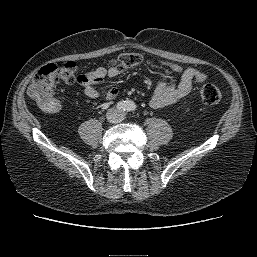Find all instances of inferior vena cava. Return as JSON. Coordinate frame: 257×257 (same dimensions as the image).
I'll use <instances>...</instances> for the list:
<instances>
[{
	"label": "inferior vena cava",
	"instance_id": "obj_1",
	"mask_svg": "<svg viewBox=\"0 0 257 257\" xmlns=\"http://www.w3.org/2000/svg\"><path fill=\"white\" fill-rule=\"evenodd\" d=\"M107 119L109 122L111 123H119L123 120V115L120 111H118L117 109H110L107 114Z\"/></svg>",
	"mask_w": 257,
	"mask_h": 257
}]
</instances>
